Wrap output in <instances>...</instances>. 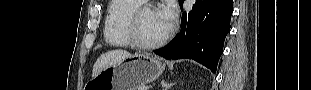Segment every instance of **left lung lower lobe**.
<instances>
[{"mask_svg": "<svg viewBox=\"0 0 311 90\" xmlns=\"http://www.w3.org/2000/svg\"><path fill=\"white\" fill-rule=\"evenodd\" d=\"M232 1L196 0L192 11L182 14V28L177 38L154 53L166 59H193L215 73L230 31ZM180 7L183 9V4Z\"/></svg>", "mask_w": 311, "mask_h": 90, "instance_id": "obj_1", "label": "left lung lower lobe"}]
</instances>
